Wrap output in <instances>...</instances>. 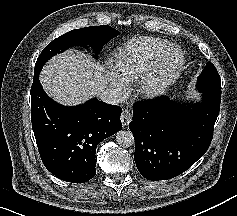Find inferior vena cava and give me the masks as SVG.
<instances>
[{"label": "inferior vena cava", "instance_id": "602c4592", "mask_svg": "<svg viewBox=\"0 0 237 216\" xmlns=\"http://www.w3.org/2000/svg\"><path fill=\"white\" fill-rule=\"evenodd\" d=\"M98 98L107 104L110 105H119L123 102V97L121 92H119L116 88L107 87L100 91Z\"/></svg>", "mask_w": 237, "mask_h": 216}]
</instances>
